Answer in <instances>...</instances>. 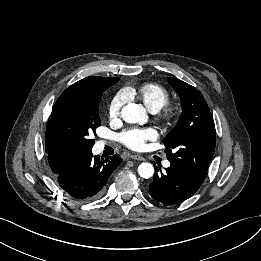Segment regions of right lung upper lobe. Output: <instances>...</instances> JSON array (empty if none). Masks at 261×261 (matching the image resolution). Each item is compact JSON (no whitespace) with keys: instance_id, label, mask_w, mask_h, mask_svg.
<instances>
[{"instance_id":"cb5924a9","label":"right lung upper lobe","mask_w":261,"mask_h":261,"mask_svg":"<svg viewBox=\"0 0 261 261\" xmlns=\"http://www.w3.org/2000/svg\"><path fill=\"white\" fill-rule=\"evenodd\" d=\"M115 78H106L99 76L86 77L73 85H71L66 90H77L79 92H89L94 90H99L108 84H111ZM48 154L49 166L55 175L62 173L70 165L80 159L85 153L67 151V150H57V149H46Z\"/></svg>"}]
</instances>
